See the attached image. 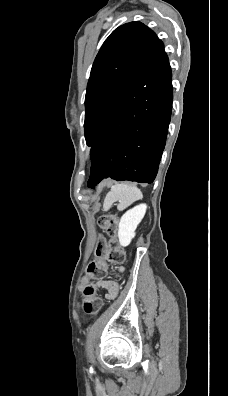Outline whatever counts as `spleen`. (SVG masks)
I'll use <instances>...</instances> for the list:
<instances>
[{"mask_svg": "<svg viewBox=\"0 0 228 396\" xmlns=\"http://www.w3.org/2000/svg\"><path fill=\"white\" fill-rule=\"evenodd\" d=\"M142 192L134 185L125 183L115 184L111 187V191L105 197L103 208L108 211L112 204L119 202L117 209L122 211L130 206L133 202L142 199Z\"/></svg>", "mask_w": 228, "mask_h": 396, "instance_id": "obj_1", "label": "spleen"}]
</instances>
